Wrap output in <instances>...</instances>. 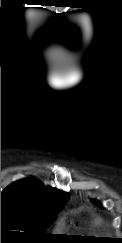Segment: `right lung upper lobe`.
I'll list each match as a JSON object with an SVG mask.
<instances>
[{
	"label": "right lung upper lobe",
	"instance_id": "right-lung-upper-lobe-1",
	"mask_svg": "<svg viewBox=\"0 0 122 243\" xmlns=\"http://www.w3.org/2000/svg\"><path fill=\"white\" fill-rule=\"evenodd\" d=\"M1 199H15L38 207H62L69 194L52 187H45L35 178L10 184L1 193Z\"/></svg>",
	"mask_w": 122,
	"mask_h": 243
}]
</instances>
